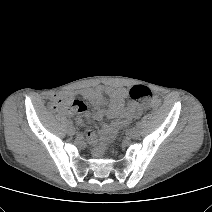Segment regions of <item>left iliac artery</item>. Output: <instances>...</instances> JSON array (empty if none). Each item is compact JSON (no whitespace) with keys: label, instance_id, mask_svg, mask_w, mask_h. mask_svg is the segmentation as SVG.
<instances>
[{"label":"left iliac artery","instance_id":"1","mask_svg":"<svg viewBox=\"0 0 212 212\" xmlns=\"http://www.w3.org/2000/svg\"><path fill=\"white\" fill-rule=\"evenodd\" d=\"M140 125H141V123H140V122H137V123H136V127H137V128H139V127H140Z\"/></svg>","mask_w":212,"mask_h":212}]
</instances>
